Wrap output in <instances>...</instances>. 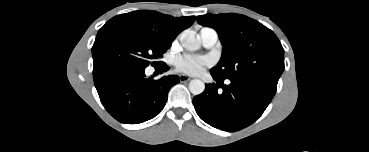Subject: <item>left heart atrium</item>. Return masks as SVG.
I'll use <instances>...</instances> for the list:
<instances>
[{"instance_id":"1","label":"left heart atrium","mask_w":369,"mask_h":152,"mask_svg":"<svg viewBox=\"0 0 369 152\" xmlns=\"http://www.w3.org/2000/svg\"><path fill=\"white\" fill-rule=\"evenodd\" d=\"M174 64L179 72L189 75H198L210 64V60L206 57L197 55H183L177 57Z\"/></svg>"}]
</instances>
